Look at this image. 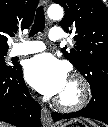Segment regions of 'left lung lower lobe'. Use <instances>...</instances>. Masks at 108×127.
Returning a JSON list of instances; mask_svg holds the SVG:
<instances>
[{
  "label": "left lung lower lobe",
  "mask_w": 108,
  "mask_h": 127,
  "mask_svg": "<svg viewBox=\"0 0 108 127\" xmlns=\"http://www.w3.org/2000/svg\"><path fill=\"white\" fill-rule=\"evenodd\" d=\"M80 116L100 120L108 124V88L96 87L92 89V99L87 107L81 111L63 115L55 112L52 113V118L55 121Z\"/></svg>",
  "instance_id": "left-lung-lower-lobe-1"
}]
</instances>
